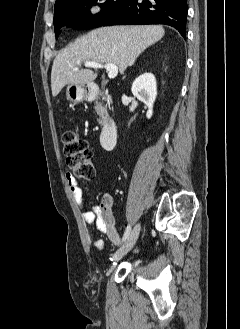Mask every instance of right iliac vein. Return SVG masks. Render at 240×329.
I'll use <instances>...</instances> for the list:
<instances>
[{
	"instance_id": "1",
	"label": "right iliac vein",
	"mask_w": 240,
	"mask_h": 329,
	"mask_svg": "<svg viewBox=\"0 0 240 329\" xmlns=\"http://www.w3.org/2000/svg\"><path fill=\"white\" fill-rule=\"evenodd\" d=\"M140 228H141L140 223H137L135 225V227L133 228V230L131 231V233L129 234L126 242L113 255V259L115 261H118L119 259H121L132 249V247L135 245V243L138 239V236L140 233Z\"/></svg>"
}]
</instances>
